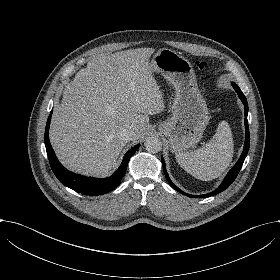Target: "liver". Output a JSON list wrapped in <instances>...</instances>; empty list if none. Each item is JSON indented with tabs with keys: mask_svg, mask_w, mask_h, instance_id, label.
I'll use <instances>...</instances> for the list:
<instances>
[{
	"mask_svg": "<svg viewBox=\"0 0 280 280\" xmlns=\"http://www.w3.org/2000/svg\"><path fill=\"white\" fill-rule=\"evenodd\" d=\"M153 52L145 47L93 57L66 85L54 108L49 136L67 170L104 177L126 145L121 129L133 133L134 143L142 140L150 115L164 108L148 64Z\"/></svg>",
	"mask_w": 280,
	"mask_h": 280,
	"instance_id": "1",
	"label": "liver"
}]
</instances>
